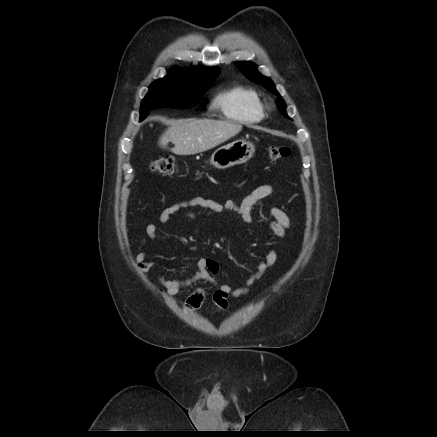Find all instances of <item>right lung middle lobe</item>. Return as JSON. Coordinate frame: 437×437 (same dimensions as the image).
Wrapping results in <instances>:
<instances>
[{"instance_id": "obj_1", "label": "right lung middle lobe", "mask_w": 437, "mask_h": 437, "mask_svg": "<svg viewBox=\"0 0 437 437\" xmlns=\"http://www.w3.org/2000/svg\"><path fill=\"white\" fill-rule=\"evenodd\" d=\"M213 81L205 83H186L180 80L163 78L153 82L141 103L140 119L150 110L161 107L189 108L198 103Z\"/></svg>"}]
</instances>
